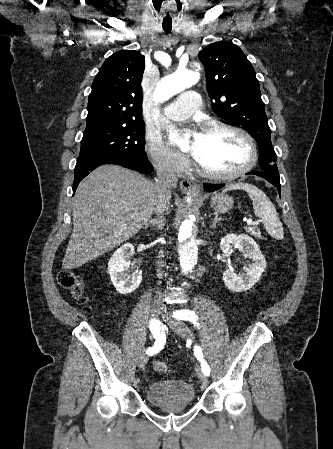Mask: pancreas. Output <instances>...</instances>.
Returning a JSON list of instances; mask_svg holds the SVG:
<instances>
[{
	"mask_svg": "<svg viewBox=\"0 0 333 449\" xmlns=\"http://www.w3.org/2000/svg\"><path fill=\"white\" fill-rule=\"evenodd\" d=\"M246 231L257 238L262 237L261 232L257 227H248V228H246Z\"/></svg>",
	"mask_w": 333,
	"mask_h": 449,
	"instance_id": "1",
	"label": "pancreas"
}]
</instances>
